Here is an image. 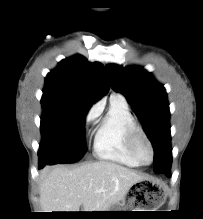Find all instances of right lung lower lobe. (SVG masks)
Listing matches in <instances>:
<instances>
[{
	"label": "right lung lower lobe",
	"instance_id": "right-lung-lower-lobe-1",
	"mask_svg": "<svg viewBox=\"0 0 203 219\" xmlns=\"http://www.w3.org/2000/svg\"><path fill=\"white\" fill-rule=\"evenodd\" d=\"M43 166H41L40 164H39V168H42Z\"/></svg>",
	"mask_w": 203,
	"mask_h": 219
}]
</instances>
